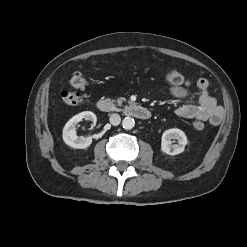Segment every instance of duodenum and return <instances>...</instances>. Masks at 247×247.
<instances>
[{
	"label": "duodenum",
	"instance_id": "obj_1",
	"mask_svg": "<svg viewBox=\"0 0 247 247\" xmlns=\"http://www.w3.org/2000/svg\"><path fill=\"white\" fill-rule=\"evenodd\" d=\"M97 108L104 113L115 110L113 104L108 99L98 100ZM122 111L125 115L132 116L140 120H148L151 117V112L147 108L136 103L126 105Z\"/></svg>",
	"mask_w": 247,
	"mask_h": 247
}]
</instances>
